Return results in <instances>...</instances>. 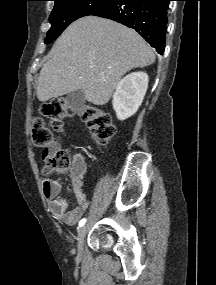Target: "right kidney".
I'll list each match as a JSON object with an SVG mask.
<instances>
[{
    "label": "right kidney",
    "instance_id": "right-kidney-1",
    "mask_svg": "<svg viewBox=\"0 0 216 285\" xmlns=\"http://www.w3.org/2000/svg\"><path fill=\"white\" fill-rule=\"evenodd\" d=\"M148 81L145 72H134L118 82L113 95V108L119 120H125L137 112L147 91Z\"/></svg>",
    "mask_w": 216,
    "mask_h": 285
}]
</instances>
